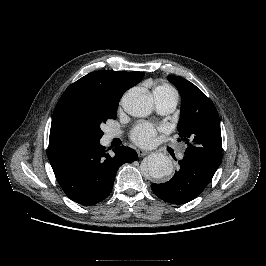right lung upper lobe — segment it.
Wrapping results in <instances>:
<instances>
[{
    "instance_id": "obj_1",
    "label": "right lung upper lobe",
    "mask_w": 266,
    "mask_h": 266,
    "mask_svg": "<svg viewBox=\"0 0 266 266\" xmlns=\"http://www.w3.org/2000/svg\"><path fill=\"white\" fill-rule=\"evenodd\" d=\"M144 77L142 72H119L111 70L95 71L71 84L59 99L53 113L52 123L59 111L69 102L118 103L121 95L130 87L136 85ZM58 138L52 124L50 138Z\"/></svg>"
}]
</instances>
